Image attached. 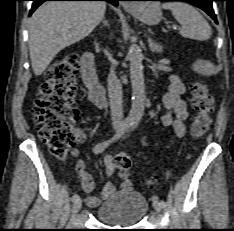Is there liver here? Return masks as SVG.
<instances>
[{
    "label": "liver",
    "instance_id": "1",
    "mask_svg": "<svg viewBox=\"0 0 234 231\" xmlns=\"http://www.w3.org/2000/svg\"><path fill=\"white\" fill-rule=\"evenodd\" d=\"M103 1H52L44 3L29 22V52L36 76L41 75L64 48L87 37L101 22Z\"/></svg>",
    "mask_w": 234,
    "mask_h": 231
}]
</instances>
